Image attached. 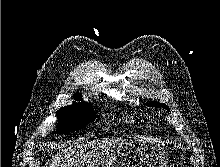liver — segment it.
I'll list each match as a JSON object with an SVG mask.
<instances>
[{
    "instance_id": "1",
    "label": "liver",
    "mask_w": 220,
    "mask_h": 167,
    "mask_svg": "<svg viewBox=\"0 0 220 167\" xmlns=\"http://www.w3.org/2000/svg\"><path fill=\"white\" fill-rule=\"evenodd\" d=\"M136 142L112 138L62 144L50 161L49 167H110L116 160L118 150L125 144Z\"/></svg>"
}]
</instances>
